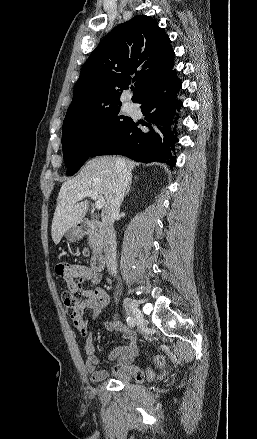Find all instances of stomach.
<instances>
[{
    "mask_svg": "<svg viewBox=\"0 0 257 439\" xmlns=\"http://www.w3.org/2000/svg\"><path fill=\"white\" fill-rule=\"evenodd\" d=\"M80 235L81 233L76 226L68 229L65 233V237L71 242L78 240L80 238Z\"/></svg>",
    "mask_w": 257,
    "mask_h": 439,
    "instance_id": "obj_1",
    "label": "stomach"
}]
</instances>
